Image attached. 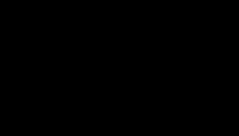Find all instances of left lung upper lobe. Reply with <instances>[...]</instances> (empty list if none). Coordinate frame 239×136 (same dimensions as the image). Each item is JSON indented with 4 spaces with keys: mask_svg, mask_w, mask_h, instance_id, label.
Listing matches in <instances>:
<instances>
[{
    "mask_svg": "<svg viewBox=\"0 0 239 136\" xmlns=\"http://www.w3.org/2000/svg\"><path fill=\"white\" fill-rule=\"evenodd\" d=\"M182 47L190 52L202 53L201 46L199 43V35L195 26L187 21L185 27V34L182 40Z\"/></svg>",
    "mask_w": 239,
    "mask_h": 136,
    "instance_id": "1",
    "label": "left lung upper lobe"
}]
</instances>
